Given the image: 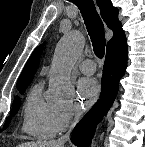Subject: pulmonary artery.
I'll list each match as a JSON object with an SVG mask.
<instances>
[{
    "mask_svg": "<svg viewBox=\"0 0 145 147\" xmlns=\"http://www.w3.org/2000/svg\"><path fill=\"white\" fill-rule=\"evenodd\" d=\"M80 71L86 75L94 74L96 71L95 63L92 60H84L78 64Z\"/></svg>",
    "mask_w": 145,
    "mask_h": 147,
    "instance_id": "obj_1",
    "label": "pulmonary artery"
}]
</instances>
